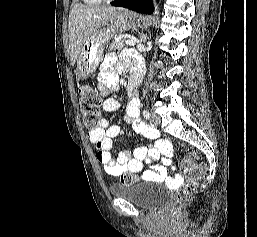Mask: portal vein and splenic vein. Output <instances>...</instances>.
Instances as JSON below:
<instances>
[{
	"label": "portal vein and splenic vein",
	"mask_w": 257,
	"mask_h": 237,
	"mask_svg": "<svg viewBox=\"0 0 257 237\" xmlns=\"http://www.w3.org/2000/svg\"><path fill=\"white\" fill-rule=\"evenodd\" d=\"M125 43H126L127 45H130V46H134V45H135V42L132 41V40H127Z\"/></svg>",
	"instance_id": "18ae733b"
}]
</instances>
